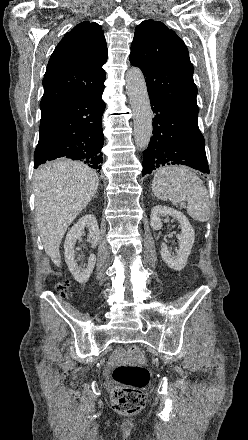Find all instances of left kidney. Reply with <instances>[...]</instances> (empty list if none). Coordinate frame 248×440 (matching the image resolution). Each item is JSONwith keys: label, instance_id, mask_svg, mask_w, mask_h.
<instances>
[{"label": "left kidney", "instance_id": "left-kidney-1", "mask_svg": "<svg viewBox=\"0 0 248 440\" xmlns=\"http://www.w3.org/2000/svg\"><path fill=\"white\" fill-rule=\"evenodd\" d=\"M171 216L175 218L181 227V233L177 235L179 240V249L176 255H171L165 243L161 244V257L164 262L172 269L180 271L187 264L194 240L195 232L187 217L180 211L165 207L155 206L151 211V226L155 230L162 228L161 218Z\"/></svg>", "mask_w": 248, "mask_h": 440}]
</instances>
